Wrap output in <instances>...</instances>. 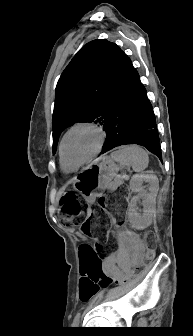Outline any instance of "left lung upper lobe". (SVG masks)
<instances>
[{"label":"left lung upper lobe","mask_w":193,"mask_h":336,"mask_svg":"<svg viewBox=\"0 0 193 336\" xmlns=\"http://www.w3.org/2000/svg\"><path fill=\"white\" fill-rule=\"evenodd\" d=\"M128 59L105 39L89 42L73 57L56 86L53 153L61 132L75 122L104 125Z\"/></svg>","instance_id":"left-lung-upper-lobe-1"}]
</instances>
